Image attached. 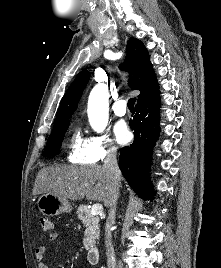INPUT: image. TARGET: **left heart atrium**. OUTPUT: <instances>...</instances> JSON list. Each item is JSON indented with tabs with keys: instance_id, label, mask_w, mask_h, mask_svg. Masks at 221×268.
<instances>
[{
	"instance_id": "1",
	"label": "left heart atrium",
	"mask_w": 221,
	"mask_h": 268,
	"mask_svg": "<svg viewBox=\"0 0 221 268\" xmlns=\"http://www.w3.org/2000/svg\"><path fill=\"white\" fill-rule=\"evenodd\" d=\"M114 135L119 144H126L131 138L129 128L124 121H118L115 124Z\"/></svg>"
}]
</instances>
